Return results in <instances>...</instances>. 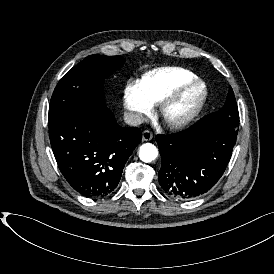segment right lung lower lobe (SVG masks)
Wrapping results in <instances>:
<instances>
[{
    "label": "right lung lower lobe",
    "mask_w": 274,
    "mask_h": 274,
    "mask_svg": "<svg viewBox=\"0 0 274 274\" xmlns=\"http://www.w3.org/2000/svg\"><path fill=\"white\" fill-rule=\"evenodd\" d=\"M58 167L80 194L93 199L111 194L142 133L117 124L106 105L78 108L49 120Z\"/></svg>",
    "instance_id": "1"
}]
</instances>
